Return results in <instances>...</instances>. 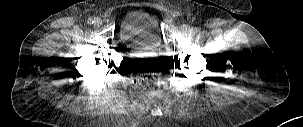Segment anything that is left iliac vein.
I'll list each match as a JSON object with an SVG mask.
<instances>
[{
	"instance_id": "1",
	"label": "left iliac vein",
	"mask_w": 303,
	"mask_h": 127,
	"mask_svg": "<svg viewBox=\"0 0 303 127\" xmlns=\"http://www.w3.org/2000/svg\"><path fill=\"white\" fill-rule=\"evenodd\" d=\"M181 31L183 32V33H192V29L190 28V26H188V25H182L181 26Z\"/></svg>"
}]
</instances>
